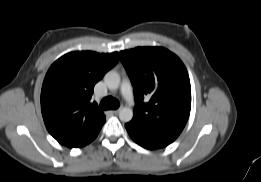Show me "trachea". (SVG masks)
Wrapping results in <instances>:
<instances>
[{
	"label": "trachea",
	"mask_w": 261,
	"mask_h": 182,
	"mask_svg": "<svg viewBox=\"0 0 261 182\" xmlns=\"http://www.w3.org/2000/svg\"><path fill=\"white\" fill-rule=\"evenodd\" d=\"M120 106L119 101L116 98L113 97H105L100 102V107L104 110L108 109H117Z\"/></svg>",
	"instance_id": "obj_1"
}]
</instances>
